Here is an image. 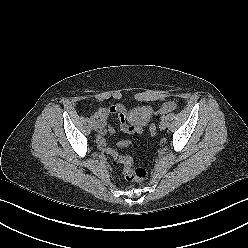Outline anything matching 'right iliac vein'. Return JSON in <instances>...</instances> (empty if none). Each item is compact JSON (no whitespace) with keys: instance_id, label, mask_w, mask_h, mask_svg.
I'll return each mask as SVG.
<instances>
[{"instance_id":"1","label":"right iliac vein","mask_w":248,"mask_h":248,"mask_svg":"<svg viewBox=\"0 0 248 248\" xmlns=\"http://www.w3.org/2000/svg\"><path fill=\"white\" fill-rule=\"evenodd\" d=\"M92 127H93V129H94L95 131H97V130L99 129V125H98L97 122H93Z\"/></svg>"}]
</instances>
